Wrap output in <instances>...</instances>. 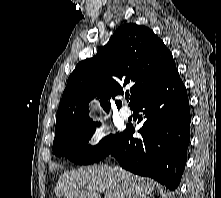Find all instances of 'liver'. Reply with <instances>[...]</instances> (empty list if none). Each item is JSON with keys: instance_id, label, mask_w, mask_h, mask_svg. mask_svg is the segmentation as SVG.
I'll list each match as a JSON object with an SVG mask.
<instances>
[{"instance_id": "1", "label": "liver", "mask_w": 221, "mask_h": 198, "mask_svg": "<svg viewBox=\"0 0 221 198\" xmlns=\"http://www.w3.org/2000/svg\"><path fill=\"white\" fill-rule=\"evenodd\" d=\"M120 175L129 182L136 198H149L146 196L154 190L153 182L146 178L121 168L94 165L64 172L54 191L57 198H101V192L104 198H126Z\"/></svg>"}]
</instances>
